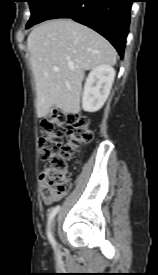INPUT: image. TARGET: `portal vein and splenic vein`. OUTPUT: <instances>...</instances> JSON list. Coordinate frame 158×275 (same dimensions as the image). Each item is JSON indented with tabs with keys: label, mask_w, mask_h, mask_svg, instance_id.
<instances>
[{
	"label": "portal vein and splenic vein",
	"mask_w": 158,
	"mask_h": 275,
	"mask_svg": "<svg viewBox=\"0 0 158 275\" xmlns=\"http://www.w3.org/2000/svg\"><path fill=\"white\" fill-rule=\"evenodd\" d=\"M53 70H54L55 72H57V71L59 70V67L54 66V67H53Z\"/></svg>",
	"instance_id": "obj_1"
}]
</instances>
